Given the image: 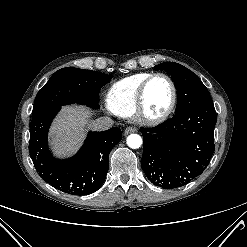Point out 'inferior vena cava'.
<instances>
[{"mask_svg":"<svg viewBox=\"0 0 247 247\" xmlns=\"http://www.w3.org/2000/svg\"><path fill=\"white\" fill-rule=\"evenodd\" d=\"M114 121L110 117H100L90 124L91 129L95 131H105L113 126Z\"/></svg>","mask_w":247,"mask_h":247,"instance_id":"inferior-vena-cava-1","label":"inferior vena cava"}]
</instances>
